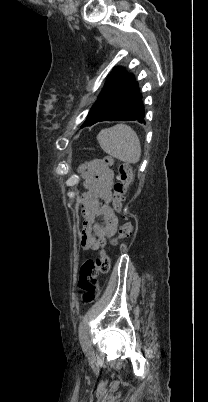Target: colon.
<instances>
[{
	"label": "colon",
	"instance_id": "5ec220e1",
	"mask_svg": "<svg viewBox=\"0 0 208 402\" xmlns=\"http://www.w3.org/2000/svg\"><path fill=\"white\" fill-rule=\"evenodd\" d=\"M108 165H114L117 175V181L114 184L113 206L119 213L123 212L124 203L129 185L132 182V170L128 163L121 162L116 164L111 156L105 157ZM134 222L125 218L120 225L115 238L112 239L113 245L122 240L130 238L133 234ZM110 259L104 250H101L99 258L96 260L87 259L82 262L78 271V285L82 291V299L86 304H92L99 296L100 286L97 281L98 275H106L109 273Z\"/></svg>",
	"mask_w": 208,
	"mask_h": 402
}]
</instances>
